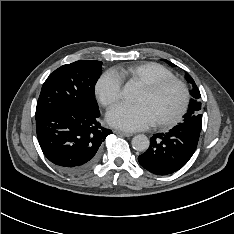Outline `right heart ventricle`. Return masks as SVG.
Segmentation results:
<instances>
[{
  "label": "right heart ventricle",
  "instance_id": "obj_1",
  "mask_svg": "<svg viewBox=\"0 0 234 234\" xmlns=\"http://www.w3.org/2000/svg\"><path fill=\"white\" fill-rule=\"evenodd\" d=\"M113 72L121 81L127 79L131 82H136L140 86L151 84L162 79L175 78L170 70L153 62L117 67Z\"/></svg>",
  "mask_w": 234,
  "mask_h": 234
}]
</instances>
